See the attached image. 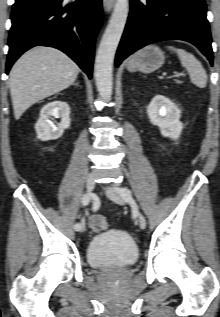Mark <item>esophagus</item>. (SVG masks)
<instances>
[{
  "instance_id": "obj_1",
  "label": "esophagus",
  "mask_w": 220,
  "mask_h": 317,
  "mask_svg": "<svg viewBox=\"0 0 220 317\" xmlns=\"http://www.w3.org/2000/svg\"><path fill=\"white\" fill-rule=\"evenodd\" d=\"M115 4V0H103L104 9L107 13H109Z\"/></svg>"
}]
</instances>
